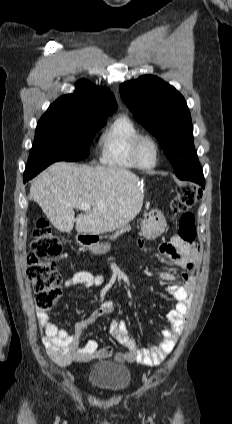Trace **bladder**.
I'll return each mask as SVG.
<instances>
[{
  "mask_svg": "<svg viewBox=\"0 0 232 424\" xmlns=\"http://www.w3.org/2000/svg\"><path fill=\"white\" fill-rule=\"evenodd\" d=\"M88 383L110 394H118L127 389L131 382L130 369L121 363L103 361L90 366Z\"/></svg>",
  "mask_w": 232,
  "mask_h": 424,
  "instance_id": "1",
  "label": "bladder"
}]
</instances>
